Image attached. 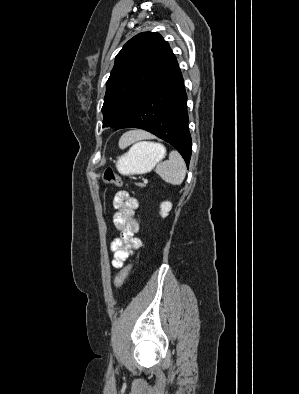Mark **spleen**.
I'll use <instances>...</instances> for the list:
<instances>
[{
    "instance_id": "3e777b00",
    "label": "spleen",
    "mask_w": 299,
    "mask_h": 394,
    "mask_svg": "<svg viewBox=\"0 0 299 394\" xmlns=\"http://www.w3.org/2000/svg\"><path fill=\"white\" fill-rule=\"evenodd\" d=\"M141 142L136 143L131 147V152L135 149ZM154 145L160 144L153 143ZM128 144V139L126 134L120 140V146L126 147ZM164 148V147H163ZM165 149V148H164ZM156 172L160 177L172 185H180L186 175V165L182 156L175 150L171 151L169 154V160L159 163L156 167Z\"/></svg>"
}]
</instances>
